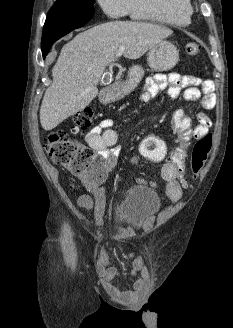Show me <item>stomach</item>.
Listing matches in <instances>:
<instances>
[{"label":"stomach","instance_id":"1","mask_svg":"<svg viewBox=\"0 0 233 328\" xmlns=\"http://www.w3.org/2000/svg\"><path fill=\"white\" fill-rule=\"evenodd\" d=\"M148 65L155 71H168L179 61V51L177 47L169 41H161L149 49ZM144 71L138 65H133L129 69L128 79L124 85L117 89L111 99H120L133 91L143 77Z\"/></svg>","mask_w":233,"mask_h":328}]
</instances>
